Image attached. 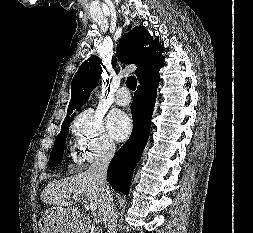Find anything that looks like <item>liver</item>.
<instances>
[{
  "label": "liver",
  "instance_id": "obj_1",
  "mask_svg": "<svg viewBox=\"0 0 253 233\" xmlns=\"http://www.w3.org/2000/svg\"><path fill=\"white\" fill-rule=\"evenodd\" d=\"M99 189L95 177L86 171L48 183L42 191L41 200L46 204L68 206L77 200L73 201L71 196L85 195L88 202L99 206Z\"/></svg>",
  "mask_w": 253,
  "mask_h": 233
}]
</instances>
